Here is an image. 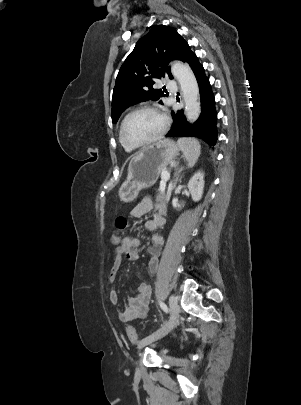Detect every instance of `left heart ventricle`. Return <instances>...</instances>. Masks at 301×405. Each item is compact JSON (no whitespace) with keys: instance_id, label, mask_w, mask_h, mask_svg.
<instances>
[{"instance_id":"1","label":"left heart ventricle","mask_w":301,"mask_h":405,"mask_svg":"<svg viewBox=\"0 0 301 405\" xmlns=\"http://www.w3.org/2000/svg\"><path fill=\"white\" fill-rule=\"evenodd\" d=\"M162 118L151 111H141L129 118L125 127L126 137L135 143L154 137L162 128Z\"/></svg>"}]
</instances>
